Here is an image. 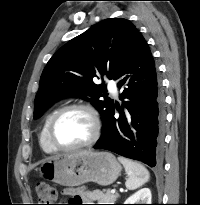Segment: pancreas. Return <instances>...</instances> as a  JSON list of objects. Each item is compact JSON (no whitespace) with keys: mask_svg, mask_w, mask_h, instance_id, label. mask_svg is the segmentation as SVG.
<instances>
[{"mask_svg":"<svg viewBox=\"0 0 200 205\" xmlns=\"http://www.w3.org/2000/svg\"><path fill=\"white\" fill-rule=\"evenodd\" d=\"M89 198L93 201H98L99 204H114V202L119 198V194H113L109 189L103 191L95 190L89 194Z\"/></svg>","mask_w":200,"mask_h":205,"instance_id":"cf45deb5","label":"pancreas"}]
</instances>
